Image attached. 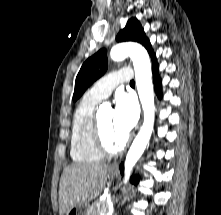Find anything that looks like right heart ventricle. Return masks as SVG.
I'll return each instance as SVG.
<instances>
[{"mask_svg": "<svg viewBox=\"0 0 221 215\" xmlns=\"http://www.w3.org/2000/svg\"><path fill=\"white\" fill-rule=\"evenodd\" d=\"M99 101L86 93L76 107L70 138V155L75 162L93 163L103 158L92 137L95 109Z\"/></svg>", "mask_w": 221, "mask_h": 215, "instance_id": "1", "label": "right heart ventricle"}]
</instances>
